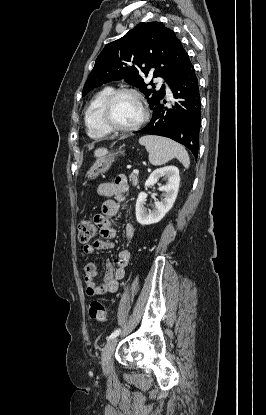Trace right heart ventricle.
I'll use <instances>...</instances> for the list:
<instances>
[{
	"mask_svg": "<svg viewBox=\"0 0 266 415\" xmlns=\"http://www.w3.org/2000/svg\"><path fill=\"white\" fill-rule=\"evenodd\" d=\"M112 91V87H104L93 96L86 108L85 125L93 139H103L111 133L102 120V108Z\"/></svg>",
	"mask_w": 266,
	"mask_h": 415,
	"instance_id": "1",
	"label": "right heart ventricle"
}]
</instances>
